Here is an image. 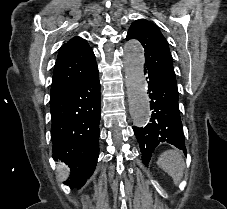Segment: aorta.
<instances>
[{
    "mask_svg": "<svg viewBox=\"0 0 227 209\" xmlns=\"http://www.w3.org/2000/svg\"><path fill=\"white\" fill-rule=\"evenodd\" d=\"M144 49L136 40L124 46V64L130 115L136 126H145L149 117V101L144 78Z\"/></svg>",
    "mask_w": 227,
    "mask_h": 209,
    "instance_id": "aorta-1",
    "label": "aorta"
}]
</instances>
